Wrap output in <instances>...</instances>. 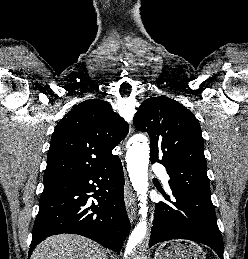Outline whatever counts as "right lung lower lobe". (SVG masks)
I'll return each instance as SVG.
<instances>
[{
  "label": "right lung lower lobe",
  "mask_w": 248,
  "mask_h": 259,
  "mask_svg": "<svg viewBox=\"0 0 248 259\" xmlns=\"http://www.w3.org/2000/svg\"><path fill=\"white\" fill-rule=\"evenodd\" d=\"M123 191L118 156L102 168L44 182L29 256L42 240L63 233L85 236L119 252L130 231Z\"/></svg>",
  "instance_id": "right-lung-lower-lobe-1"
}]
</instances>
